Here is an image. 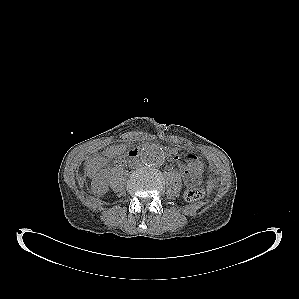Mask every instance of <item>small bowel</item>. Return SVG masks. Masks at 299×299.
<instances>
[{
  "label": "small bowel",
  "mask_w": 299,
  "mask_h": 299,
  "mask_svg": "<svg viewBox=\"0 0 299 299\" xmlns=\"http://www.w3.org/2000/svg\"><path fill=\"white\" fill-rule=\"evenodd\" d=\"M122 152V147L120 146H110L105 150V157L107 159H113L116 156H118ZM180 170H181V175L184 180V183L192 187L194 185H197L200 180H197L192 173L190 172L188 165L185 163L180 164Z\"/></svg>",
  "instance_id": "c3829d8e"
}]
</instances>
